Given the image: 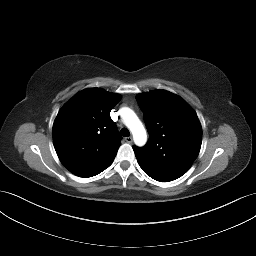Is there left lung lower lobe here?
<instances>
[{
  "instance_id": "1",
  "label": "left lung lower lobe",
  "mask_w": 256,
  "mask_h": 256,
  "mask_svg": "<svg viewBox=\"0 0 256 256\" xmlns=\"http://www.w3.org/2000/svg\"><path fill=\"white\" fill-rule=\"evenodd\" d=\"M157 181H160V182H168L169 180H165V179H159V178H154V177H151Z\"/></svg>"
}]
</instances>
